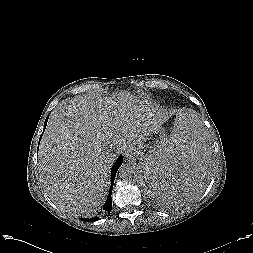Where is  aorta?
I'll list each match as a JSON object with an SVG mask.
<instances>
[{
	"mask_svg": "<svg viewBox=\"0 0 253 253\" xmlns=\"http://www.w3.org/2000/svg\"><path fill=\"white\" fill-rule=\"evenodd\" d=\"M135 170L131 164H122L118 170V175L122 179L131 178Z\"/></svg>",
	"mask_w": 253,
	"mask_h": 253,
	"instance_id": "762f6f07",
	"label": "aorta"
}]
</instances>
